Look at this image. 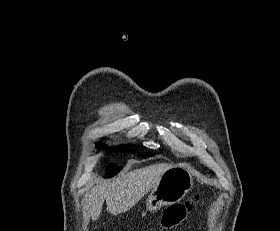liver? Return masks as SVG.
<instances>
[{
    "instance_id": "liver-1",
    "label": "liver",
    "mask_w": 280,
    "mask_h": 231,
    "mask_svg": "<svg viewBox=\"0 0 280 231\" xmlns=\"http://www.w3.org/2000/svg\"><path fill=\"white\" fill-rule=\"evenodd\" d=\"M170 167L172 165L169 163H154L148 167L126 171L120 177L113 179L112 183H107L103 187L93 185L86 201L85 209L88 211V215L94 221L98 219L104 197L107 207L113 215L128 211L135 203H138L139 199L144 197L145 193L157 185L162 173H165Z\"/></svg>"
}]
</instances>
